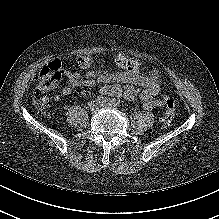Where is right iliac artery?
Segmentation results:
<instances>
[{"instance_id":"82829eb1","label":"right iliac artery","mask_w":219,"mask_h":219,"mask_svg":"<svg viewBox=\"0 0 219 219\" xmlns=\"http://www.w3.org/2000/svg\"><path fill=\"white\" fill-rule=\"evenodd\" d=\"M106 97H104V96H98L94 101H91L90 102V106H95V105H100V104H102L103 102H105L106 101Z\"/></svg>"}]
</instances>
